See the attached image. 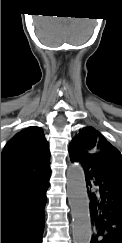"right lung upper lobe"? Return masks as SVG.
Wrapping results in <instances>:
<instances>
[{"mask_svg": "<svg viewBox=\"0 0 122 243\" xmlns=\"http://www.w3.org/2000/svg\"><path fill=\"white\" fill-rule=\"evenodd\" d=\"M48 150L40 127L31 126L16 134L1 154V189L50 171Z\"/></svg>", "mask_w": 122, "mask_h": 243, "instance_id": "1", "label": "right lung upper lobe"}]
</instances>
